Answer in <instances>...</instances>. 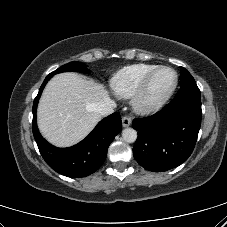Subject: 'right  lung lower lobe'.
Masks as SVG:
<instances>
[{
	"instance_id": "right-lung-lower-lobe-1",
	"label": "right lung lower lobe",
	"mask_w": 227,
	"mask_h": 227,
	"mask_svg": "<svg viewBox=\"0 0 227 227\" xmlns=\"http://www.w3.org/2000/svg\"><path fill=\"white\" fill-rule=\"evenodd\" d=\"M53 75H48L33 103V135L46 163L56 172L80 178L97 171L104 163L107 150L122 127L121 117L115 112L98 123L94 130L80 143L69 148H57L49 144L39 133L36 110L41 93Z\"/></svg>"
}]
</instances>
